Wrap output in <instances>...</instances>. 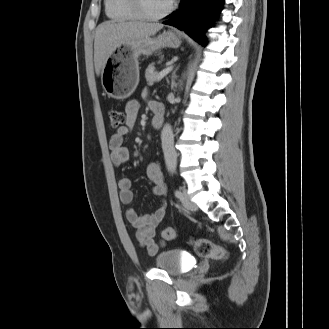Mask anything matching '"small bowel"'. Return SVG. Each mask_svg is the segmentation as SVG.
<instances>
[{"mask_svg":"<svg viewBox=\"0 0 329 329\" xmlns=\"http://www.w3.org/2000/svg\"><path fill=\"white\" fill-rule=\"evenodd\" d=\"M157 103L150 101V106ZM140 105L138 101L131 100L125 106V125L118 128L110 137L109 148L111 151V161L116 168L123 167L129 160V150L124 145V140L129 135L137 121ZM146 175L152 182V192L154 195L164 197L166 195V184L161 167L158 163H150L146 168ZM119 198L123 204L129 205L133 201L132 182L129 178H121L118 183ZM165 215V207L161 205L151 214L140 215L133 208L125 210L127 221L136 230V239L141 247L145 248L148 254L154 255L158 252L163 241L155 240L156 228Z\"/></svg>","mask_w":329,"mask_h":329,"instance_id":"c3829d8e","label":"small bowel"}]
</instances>
